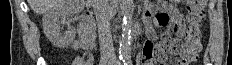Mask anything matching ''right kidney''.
I'll return each mask as SVG.
<instances>
[{
  "label": "right kidney",
  "instance_id": "ca27d5eb",
  "mask_svg": "<svg viewBox=\"0 0 232 65\" xmlns=\"http://www.w3.org/2000/svg\"><path fill=\"white\" fill-rule=\"evenodd\" d=\"M76 12L71 0H63L57 6L52 7L42 19L43 31L50 42L59 48L69 46L76 35L74 28L69 27L66 32H60L59 19H67Z\"/></svg>",
  "mask_w": 232,
  "mask_h": 65
}]
</instances>
